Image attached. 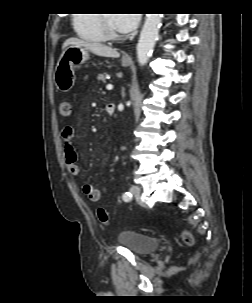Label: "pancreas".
<instances>
[{
	"label": "pancreas",
	"instance_id": "pancreas-1",
	"mask_svg": "<svg viewBox=\"0 0 252 303\" xmlns=\"http://www.w3.org/2000/svg\"><path fill=\"white\" fill-rule=\"evenodd\" d=\"M106 75H107L106 73H100V74H98L97 79H98L99 81L104 82V81H105Z\"/></svg>",
	"mask_w": 252,
	"mask_h": 303
}]
</instances>
